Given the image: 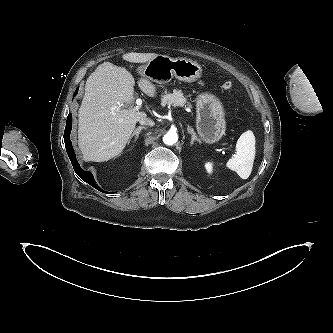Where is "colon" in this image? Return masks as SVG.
Instances as JSON below:
<instances>
[{
  "instance_id": "obj_1",
  "label": "colon",
  "mask_w": 333,
  "mask_h": 333,
  "mask_svg": "<svg viewBox=\"0 0 333 333\" xmlns=\"http://www.w3.org/2000/svg\"><path fill=\"white\" fill-rule=\"evenodd\" d=\"M223 87L226 89V90H231L232 88V83L230 81H227L224 83Z\"/></svg>"
}]
</instances>
